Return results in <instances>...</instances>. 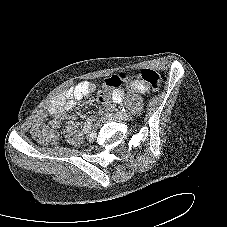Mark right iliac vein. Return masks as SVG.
<instances>
[{"instance_id":"1","label":"right iliac vein","mask_w":227,"mask_h":227,"mask_svg":"<svg viewBox=\"0 0 227 227\" xmlns=\"http://www.w3.org/2000/svg\"><path fill=\"white\" fill-rule=\"evenodd\" d=\"M86 139L89 142H93L96 139V132L94 130L89 131L88 134L86 135Z\"/></svg>"}]
</instances>
